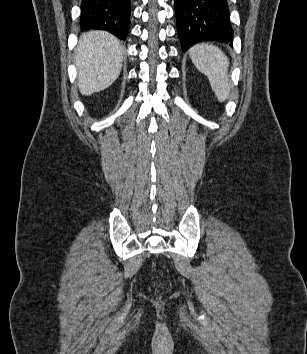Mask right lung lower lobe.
<instances>
[{"label":"right lung lower lobe","instance_id":"1","mask_svg":"<svg viewBox=\"0 0 307 354\" xmlns=\"http://www.w3.org/2000/svg\"><path fill=\"white\" fill-rule=\"evenodd\" d=\"M130 0H82L81 28L102 29L125 40L129 30Z\"/></svg>","mask_w":307,"mask_h":354}]
</instances>
